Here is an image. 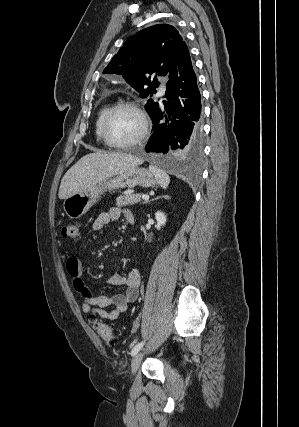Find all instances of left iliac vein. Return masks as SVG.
Wrapping results in <instances>:
<instances>
[{
  "instance_id": "4c4485c4",
  "label": "left iliac vein",
  "mask_w": 299,
  "mask_h": 427,
  "mask_svg": "<svg viewBox=\"0 0 299 427\" xmlns=\"http://www.w3.org/2000/svg\"><path fill=\"white\" fill-rule=\"evenodd\" d=\"M143 354H144V352L140 351V352H137L135 354V356L133 357L132 363H131V372H132V374H135L137 372V370H138V368L140 366Z\"/></svg>"
}]
</instances>
